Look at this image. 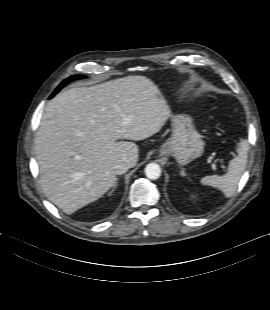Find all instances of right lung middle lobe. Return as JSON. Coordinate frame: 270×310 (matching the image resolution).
Masks as SVG:
<instances>
[{
  "instance_id": "dd1d6c3e",
  "label": "right lung middle lobe",
  "mask_w": 270,
  "mask_h": 310,
  "mask_svg": "<svg viewBox=\"0 0 270 310\" xmlns=\"http://www.w3.org/2000/svg\"><path fill=\"white\" fill-rule=\"evenodd\" d=\"M79 77H80V76H73V77H70L69 79H65V80L56 88V90L53 92V94L50 96V98H52L64 85H66L70 79L79 78Z\"/></svg>"
}]
</instances>
